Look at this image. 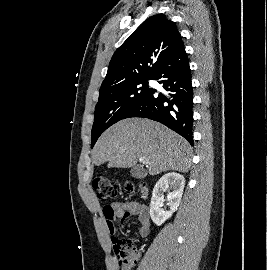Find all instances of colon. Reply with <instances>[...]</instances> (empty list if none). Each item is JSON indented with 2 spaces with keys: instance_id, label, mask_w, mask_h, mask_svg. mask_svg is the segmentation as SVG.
<instances>
[{
  "instance_id": "colon-1",
  "label": "colon",
  "mask_w": 267,
  "mask_h": 270,
  "mask_svg": "<svg viewBox=\"0 0 267 270\" xmlns=\"http://www.w3.org/2000/svg\"><path fill=\"white\" fill-rule=\"evenodd\" d=\"M93 187L100 201L106 202L117 197L119 187L107 177L98 176L93 180ZM135 187L131 183L125 185L126 192H133ZM114 251L120 270H132L136 264L138 253L133 240L129 238H113Z\"/></svg>"
}]
</instances>
